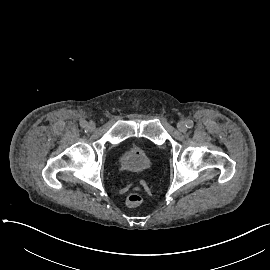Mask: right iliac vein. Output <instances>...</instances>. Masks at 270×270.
Here are the masks:
<instances>
[{
    "label": "right iliac vein",
    "instance_id": "1",
    "mask_svg": "<svg viewBox=\"0 0 270 270\" xmlns=\"http://www.w3.org/2000/svg\"><path fill=\"white\" fill-rule=\"evenodd\" d=\"M87 129H88L89 131H93V130L95 129V123H94V122H89V123L87 124Z\"/></svg>",
    "mask_w": 270,
    "mask_h": 270
}]
</instances>
